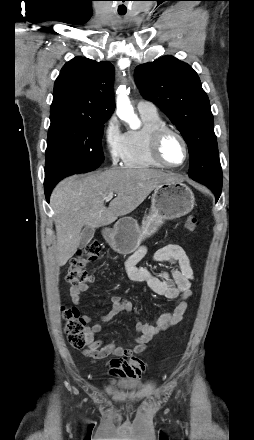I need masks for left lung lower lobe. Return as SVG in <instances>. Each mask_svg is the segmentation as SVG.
I'll return each mask as SVG.
<instances>
[{
  "instance_id": "1",
  "label": "left lung lower lobe",
  "mask_w": 254,
  "mask_h": 440,
  "mask_svg": "<svg viewBox=\"0 0 254 440\" xmlns=\"http://www.w3.org/2000/svg\"><path fill=\"white\" fill-rule=\"evenodd\" d=\"M219 196H220V195L216 196V200H218Z\"/></svg>"
}]
</instances>
